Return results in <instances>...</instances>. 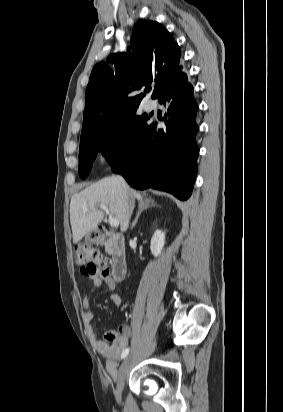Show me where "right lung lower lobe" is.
Returning a JSON list of instances; mask_svg holds the SVG:
<instances>
[{
    "instance_id": "98d812e1",
    "label": "right lung lower lobe",
    "mask_w": 283,
    "mask_h": 412,
    "mask_svg": "<svg viewBox=\"0 0 283 412\" xmlns=\"http://www.w3.org/2000/svg\"><path fill=\"white\" fill-rule=\"evenodd\" d=\"M158 98L167 110L166 127L157 129L154 123H146L127 154L111 166L136 189L151 187L186 200L197 174L198 105L188 78L168 85Z\"/></svg>"
}]
</instances>
